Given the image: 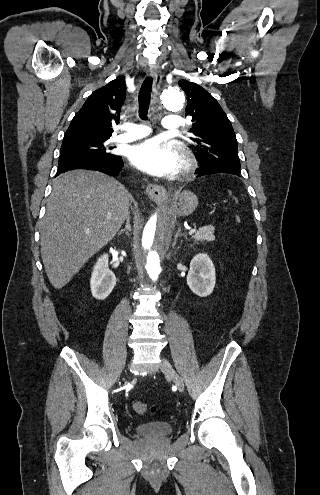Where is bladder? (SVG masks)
Here are the masks:
<instances>
[{"label":"bladder","instance_id":"bladder-1","mask_svg":"<svg viewBox=\"0 0 320 495\" xmlns=\"http://www.w3.org/2000/svg\"><path fill=\"white\" fill-rule=\"evenodd\" d=\"M135 430L143 437L163 438L173 433V425L165 421H150L138 424Z\"/></svg>","mask_w":320,"mask_h":495}]
</instances>
